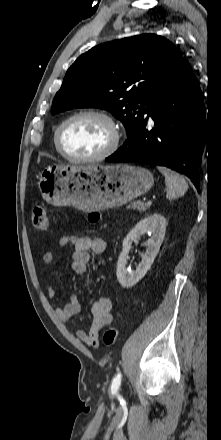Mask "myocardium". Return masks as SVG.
Wrapping results in <instances>:
<instances>
[{
    "instance_id": "f54148a6",
    "label": "myocardium",
    "mask_w": 221,
    "mask_h": 440,
    "mask_svg": "<svg viewBox=\"0 0 221 440\" xmlns=\"http://www.w3.org/2000/svg\"><path fill=\"white\" fill-rule=\"evenodd\" d=\"M83 116H93L98 117L102 120H104L112 133L111 141L108 145V147L102 151L101 153L90 156V157H73L65 152L62 146V133L65 126L71 122L72 120L83 117ZM120 141V133L118 126L116 125L114 119L106 112L97 110V109H84L80 110L78 112H75L74 114L70 115L66 119H64L56 128L55 131V146L57 151L60 153L62 157H64L66 160L73 162V163H92V162H98L102 161L108 157H110L112 154H114L119 146Z\"/></svg>"
}]
</instances>
